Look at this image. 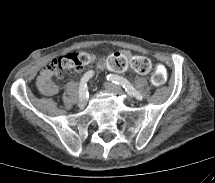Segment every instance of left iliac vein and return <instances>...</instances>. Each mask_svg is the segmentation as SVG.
<instances>
[{
  "mask_svg": "<svg viewBox=\"0 0 215 183\" xmlns=\"http://www.w3.org/2000/svg\"><path fill=\"white\" fill-rule=\"evenodd\" d=\"M104 87L110 91L116 92V93L121 94V95H125L124 90L116 84L106 82V83H104ZM125 100L127 102H131L132 98L125 96Z\"/></svg>",
  "mask_w": 215,
  "mask_h": 183,
  "instance_id": "4c4485c4",
  "label": "left iliac vein"
}]
</instances>
